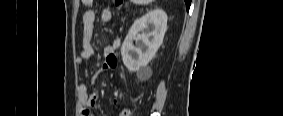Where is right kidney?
I'll list each match as a JSON object with an SVG mask.
<instances>
[{
  "mask_svg": "<svg viewBox=\"0 0 283 116\" xmlns=\"http://www.w3.org/2000/svg\"><path fill=\"white\" fill-rule=\"evenodd\" d=\"M166 30L167 15L162 9L152 10L134 22L121 47L123 63L130 72L147 66L161 46Z\"/></svg>",
  "mask_w": 283,
  "mask_h": 116,
  "instance_id": "ca27d5eb",
  "label": "right kidney"
}]
</instances>
